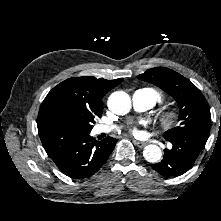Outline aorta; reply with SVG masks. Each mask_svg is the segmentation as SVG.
Returning a JSON list of instances; mask_svg holds the SVG:
<instances>
[{
    "label": "aorta",
    "instance_id": "762f6f07",
    "mask_svg": "<svg viewBox=\"0 0 221 221\" xmlns=\"http://www.w3.org/2000/svg\"><path fill=\"white\" fill-rule=\"evenodd\" d=\"M108 108L117 115H125L131 110V99L124 91L113 92L108 98ZM143 156L150 163H158L162 159V151L155 144L147 145Z\"/></svg>",
    "mask_w": 221,
    "mask_h": 221
}]
</instances>
